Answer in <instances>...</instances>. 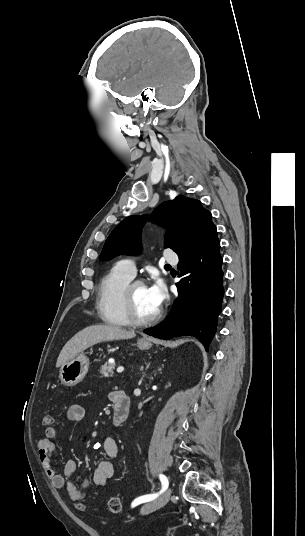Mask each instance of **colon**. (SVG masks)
I'll return each mask as SVG.
<instances>
[{
	"mask_svg": "<svg viewBox=\"0 0 305 536\" xmlns=\"http://www.w3.org/2000/svg\"><path fill=\"white\" fill-rule=\"evenodd\" d=\"M43 423L45 426H50L52 425L53 423V418L51 415H45L43 417ZM73 506L75 509L77 510H80V509H84V503L82 500L80 499H77L74 501L73 503ZM122 505H121V502L118 498H112L109 502H108V508L111 512L113 513H117L120 511Z\"/></svg>",
	"mask_w": 305,
	"mask_h": 536,
	"instance_id": "colon-1",
	"label": "colon"
}]
</instances>
